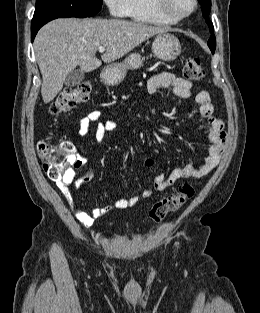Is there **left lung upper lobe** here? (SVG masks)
Listing matches in <instances>:
<instances>
[{"label": "left lung upper lobe", "instance_id": "left-lung-upper-lobe-1", "mask_svg": "<svg viewBox=\"0 0 260 313\" xmlns=\"http://www.w3.org/2000/svg\"><path fill=\"white\" fill-rule=\"evenodd\" d=\"M198 1L202 6L203 17L206 19V23L210 27V31L213 33L214 32L213 24L208 17L211 11V0H198ZM208 46L212 53H214L216 48V39L214 35H211L210 39L208 40Z\"/></svg>", "mask_w": 260, "mask_h": 313}]
</instances>
